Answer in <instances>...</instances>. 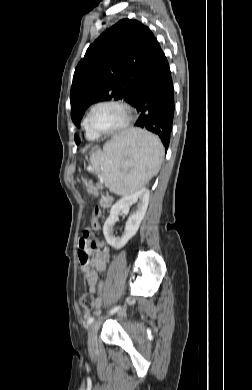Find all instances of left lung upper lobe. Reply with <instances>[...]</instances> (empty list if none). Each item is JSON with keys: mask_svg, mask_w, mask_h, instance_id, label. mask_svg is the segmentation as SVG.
<instances>
[{"mask_svg": "<svg viewBox=\"0 0 252 390\" xmlns=\"http://www.w3.org/2000/svg\"><path fill=\"white\" fill-rule=\"evenodd\" d=\"M161 52L153 33L137 20L123 19L104 31L75 69L70 92L73 122L78 125L85 110L99 101L131 103ZM75 142L80 140L75 137Z\"/></svg>", "mask_w": 252, "mask_h": 390, "instance_id": "obj_1", "label": "left lung upper lobe"}]
</instances>
